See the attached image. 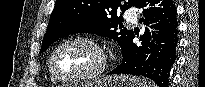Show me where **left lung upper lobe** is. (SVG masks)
Instances as JSON below:
<instances>
[{"mask_svg":"<svg viewBox=\"0 0 205 87\" xmlns=\"http://www.w3.org/2000/svg\"><path fill=\"white\" fill-rule=\"evenodd\" d=\"M139 0H56L40 53L59 38L73 33H95L116 40L121 49L134 32L123 28L118 14Z\"/></svg>","mask_w":205,"mask_h":87,"instance_id":"left-lung-upper-lobe-1","label":"left lung upper lobe"}]
</instances>
